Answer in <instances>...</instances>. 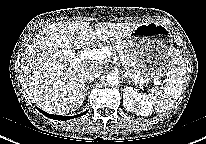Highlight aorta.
Masks as SVG:
<instances>
[{
	"label": "aorta",
	"instance_id": "1",
	"mask_svg": "<svg viewBox=\"0 0 206 144\" xmlns=\"http://www.w3.org/2000/svg\"><path fill=\"white\" fill-rule=\"evenodd\" d=\"M106 80L111 85H117L119 83V76L116 73L107 74Z\"/></svg>",
	"mask_w": 206,
	"mask_h": 144
}]
</instances>
